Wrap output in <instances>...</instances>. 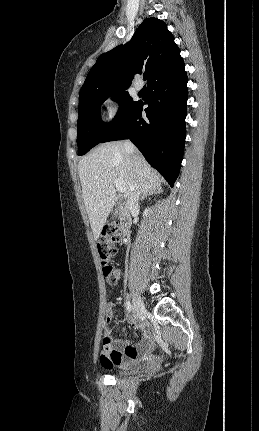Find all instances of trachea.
I'll use <instances>...</instances> for the list:
<instances>
[{"label":"trachea","instance_id":"trachea-1","mask_svg":"<svg viewBox=\"0 0 259 431\" xmlns=\"http://www.w3.org/2000/svg\"><path fill=\"white\" fill-rule=\"evenodd\" d=\"M143 78H144V80H147L148 75H147V74H144V75H143Z\"/></svg>","mask_w":259,"mask_h":431}]
</instances>
